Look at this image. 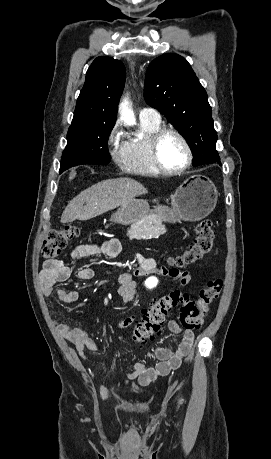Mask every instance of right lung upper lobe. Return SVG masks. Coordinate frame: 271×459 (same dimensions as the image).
Listing matches in <instances>:
<instances>
[{"label": "right lung upper lobe", "mask_w": 271, "mask_h": 459, "mask_svg": "<svg viewBox=\"0 0 271 459\" xmlns=\"http://www.w3.org/2000/svg\"><path fill=\"white\" fill-rule=\"evenodd\" d=\"M125 77V67L121 61L111 57L96 58L86 73L74 117L116 118Z\"/></svg>", "instance_id": "cb5924a9"}]
</instances>
